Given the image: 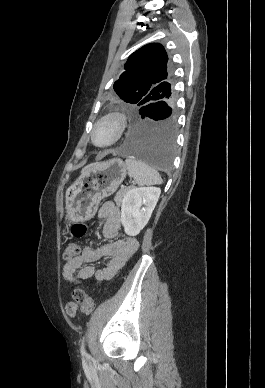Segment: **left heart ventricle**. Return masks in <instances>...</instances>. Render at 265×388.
Listing matches in <instances>:
<instances>
[{
	"instance_id": "1",
	"label": "left heart ventricle",
	"mask_w": 265,
	"mask_h": 388,
	"mask_svg": "<svg viewBox=\"0 0 265 388\" xmlns=\"http://www.w3.org/2000/svg\"><path fill=\"white\" fill-rule=\"evenodd\" d=\"M111 137L110 127L109 125L101 126L95 135L96 142L103 143L107 141Z\"/></svg>"
}]
</instances>
